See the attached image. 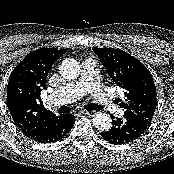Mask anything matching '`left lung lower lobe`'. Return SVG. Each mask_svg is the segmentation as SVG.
Here are the masks:
<instances>
[{
	"label": "left lung lower lobe",
	"mask_w": 174,
	"mask_h": 174,
	"mask_svg": "<svg viewBox=\"0 0 174 174\" xmlns=\"http://www.w3.org/2000/svg\"><path fill=\"white\" fill-rule=\"evenodd\" d=\"M148 130V125L130 119H113L112 127L101 136L112 144H124L139 138Z\"/></svg>",
	"instance_id": "1"
}]
</instances>
